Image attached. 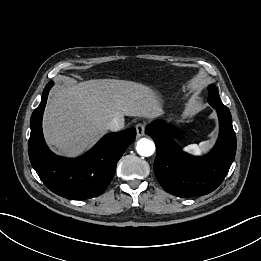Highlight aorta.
I'll list each match as a JSON object with an SVG mask.
<instances>
[{
    "mask_svg": "<svg viewBox=\"0 0 261 261\" xmlns=\"http://www.w3.org/2000/svg\"><path fill=\"white\" fill-rule=\"evenodd\" d=\"M136 150L139 155L149 157L155 151V144L147 138H142L137 142Z\"/></svg>",
    "mask_w": 261,
    "mask_h": 261,
    "instance_id": "obj_1",
    "label": "aorta"
}]
</instances>
